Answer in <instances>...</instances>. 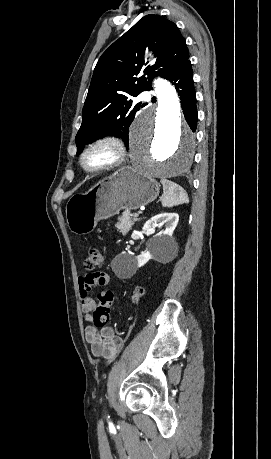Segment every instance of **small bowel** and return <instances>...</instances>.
I'll use <instances>...</instances> for the list:
<instances>
[{"label":"small bowel","mask_w":271,"mask_h":459,"mask_svg":"<svg viewBox=\"0 0 271 459\" xmlns=\"http://www.w3.org/2000/svg\"><path fill=\"white\" fill-rule=\"evenodd\" d=\"M109 282V277L102 271H90L79 278V295L82 311L86 321L92 323V312L95 309V300L90 292L95 286H105ZM86 340L90 346L92 355L95 358H103L106 361L113 360L122 348L123 340L116 335L111 327L105 326L98 328L89 325L85 329Z\"/></svg>","instance_id":"c3829d8e"}]
</instances>
